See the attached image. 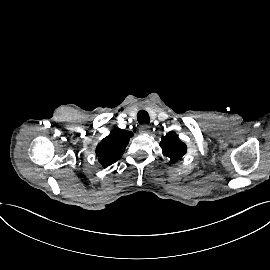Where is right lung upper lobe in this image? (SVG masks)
<instances>
[{"instance_id":"1","label":"right lung upper lobe","mask_w":270,"mask_h":270,"mask_svg":"<svg viewBox=\"0 0 270 270\" xmlns=\"http://www.w3.org/2000/svg\"><path fill=\"white\" fill-rule=\"evenodd\" d=\"M133 136L132 132L114 128L96 147V156L103 167H107L120 160L129 139Z\"/></svg>"}]
</instances>
